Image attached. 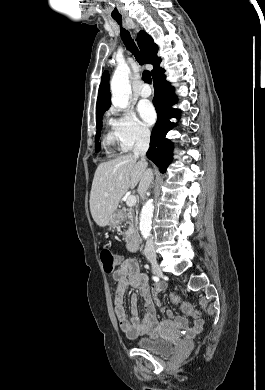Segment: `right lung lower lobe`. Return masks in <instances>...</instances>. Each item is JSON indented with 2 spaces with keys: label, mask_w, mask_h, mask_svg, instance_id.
Returning a JSON list of instances; mask_svg holds the SVG:
<instances>
[{
  "label": "right lung lower lobe",
  "mask_w": 265,
  "mask_h": 390,
  "mask_svg": "<svg viewBox=\"0 0 265 390\" xmlns=\"http://www.w3.org/2000/svg\"><path fill=\"white\" fill-rule=\"evenodd\" d=\"M164 72L165 70L162 69L153 77L155 92L153 103L158 120L152 130L150 148L147 152V157L159 167L162 173L166 171L172 160L173 144L165 138L166 133L174 127V123L169 119L180 117V110L172 108V105L177 102V97L174 88L166 81Z\"/></svg>",
  "instance_id": "right-lung-lower-lobe-1"
}]
</instances>
